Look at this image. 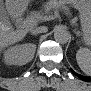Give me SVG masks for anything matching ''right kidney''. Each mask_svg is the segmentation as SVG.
I'll list each match as a JSON object with an SVG mask.
<instances>
[{
    "label": "right kidney",
    "mask_w": 91,
    "mask_h": 91,
    "mask_svg": "<svg viewBox=\"0 0 91 91\" xmlns=\"http://www.w3.org/2000/svg\"><path fill=\"white\" fill-rule=\"evenodd\" d=\"M36 45L21 44L8 48L3 52L4 62L9 65H22L28 62L31 54H34Z\"/></svg>",
    "instance_id": "1"
}]
</instances>
